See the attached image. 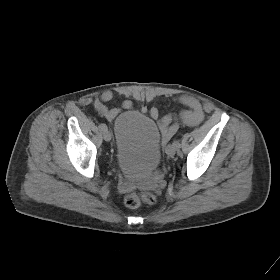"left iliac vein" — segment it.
Here are the masks:
<instances>
[{
	"label": "left iliac vein",
	"instance_id": "1",
	"mask_svg": "<svg viewBox=\"0 0 280 280\" xmlns=\"http://www.w3.org/2000/svg\"><path fill=\"white\" fill-rule=\"evenodd\" d=\"M176 150H177V148H176L175 146H173V145H168L167 148H166V154H167L168 156H171V157H172V156L175 155Z\"/></svg>",
	"mask_w": 280,
	"mask_h": 280
}]
</instances>
